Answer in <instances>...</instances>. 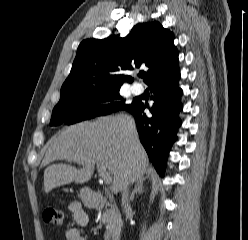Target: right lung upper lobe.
I'll list each match as a JSON object with an SVG mask.
<instances>
[{
    "instance_id": "obj_1",
    "label": "right lung upper lobe",
    "mask_w": 248,
    "mask_h": 240,
    "mask_svg": "<svg viewBox=\"0 0 248 240\" xmlns=\"http://www.w3.org/2000/svg\"><path fill=\"white\" fill-rule=\"evenodd\" d=\"M174 34L158 21L135 25L125 38L83 40L74 59L71 72L62 85L65 89H120L133 78L121 74L132 70V64L149 68L148 85L165 79L178 70V51Z\"/></svg>"
}]
</instances>
